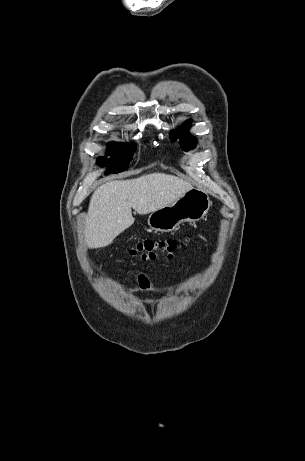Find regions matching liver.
Returning a JSON list of instances; mask_svg holds the SVG:
<instances>
[{
  "instance_id": "1",
  "label": "liver",
  "mask_w": 305,
  "mask_h": 461,
  "mask_svg": "<svg viewBox=\"0 0 305 461\" xmlns=\"http://www.w3.org/2000/svg\"><path fill=\"white\" fill-rule=\"evenodd\" d=\"M193 186L170 174L150 173L130 180H115L93 193L85 219L89 248L108 246L135 221L133 208L144 215L172 204Z\"/></svg>"
}]
</instances>
